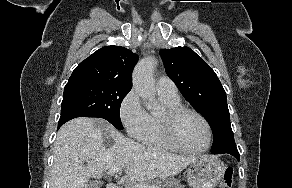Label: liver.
<instances>
[{"instance_id": "1", "label": "liver", "mask_w": 292, "mask_h": 188, "mask_svg": "<svg viewBox=\"0 0 292 188\" xmlns=\"http://www.w3.org/2000/svg\"><path fill=\"white\" fill-rule=\"evenodd\" d=\"M106 137L114 141L110 148L103 145ZM195 160L135 142L104 120L79 117L57 133L50 188H88L91 177L112 167L125 168L131 181L174 176Z\"/></svg>"}]
</instances>
